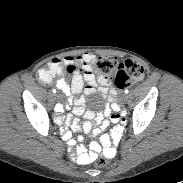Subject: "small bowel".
<instances>
[{"instance_id":"small-bowel-1","label":"small bowel","mask_w":183,"mask_h":183,"mask_svg":"<svg viewBox=\"0 0 183 183\" xmlns=\"http://www.w3.org/2000/svg\"><path fill=\"white\" fill-rule=\"evenodd\" d=\"M95 62L96 56L90 52H86L79 56L55 58L48 64L47 68L41 70L54 69L57 74L67 70L72 74L70 85H67L63 80L55 82L56 86L68 96L65 104L54 102L51 105V110L56 113L55 122L60 125L58 127L60 140L68 148L74 147L72 153L77 158L84 157L88 159L95 157V153L104 147L106 159L113 160L116 157L114 146L125 133V128L122 125L131 122L133 114L131 111L120 109L118 105L113 104L116 98V88L115 86L108 87L109 79L107 77L103 75L96 76L93 73ZM96 91L106 99L103 111H85L86 96L92 95ZM81 92L84 95L74 97V95H78ZM71 105H74V116H62L61 112ZM81 115L85 117L83 122H79L75 117ZM110 123H118L119 125H115L112 128V134L108 135L104 131ZM68 126L76 132L92 131L94 140L90 143L89 147L84 144L82 137L75 140ZM88 149L90 150L89 153L87 152Z\"/></svg>"}]
</instances>
